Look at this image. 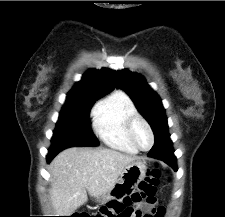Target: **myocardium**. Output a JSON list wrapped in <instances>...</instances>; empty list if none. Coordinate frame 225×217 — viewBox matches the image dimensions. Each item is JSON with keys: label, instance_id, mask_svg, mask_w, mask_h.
I'll return each instance as SVG.
<instances>
[{"label": "myocardium", "instance_id": "f54148a6", "mask_svg": "<svg viewBox=\"0 0 225 217\" xmlns=\"http://www.w3.org/2000/svg\"><path fill=\"white\" fill-rule=\"evenodd\" d=\"M138 123L143 124L147 128V130H148V132L151 136V144L148 148L141 147L136 140L135 127ZM127 135H128V138H129L130 142L132 143V145L139 151H148L153 147V145L155 143V135H154V131H153L151 125L149 124V122L144 117H142L138 113L132 115L128 119V121H127Z\"/></svg>", "mask_w": 225, "mask_h": 217}]
</instances>
